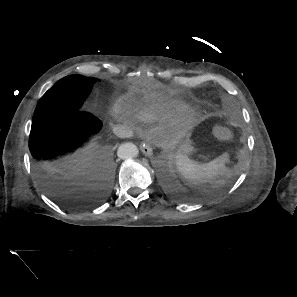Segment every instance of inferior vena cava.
Returning a JSON list of instances; mask_svg holds the SVG:
<instances>
[{
    "mask_svg": "<svg viewBox=\"0 0 297 297\" xmlns=\"http://www.w3.org/2000/svg\"><path fill=\"white\" fill-rule=\"evenodd\" d=\"M113 132L120 138H129L132 136L133 132L128 125H115L113 126Z\"/></svg>",
    "mask_w": 297,
    "mask_h": 297,
    "instance_id": "inferior-vena-cava-1",
    "label": "inferior vena cava"
}]
</instances>
